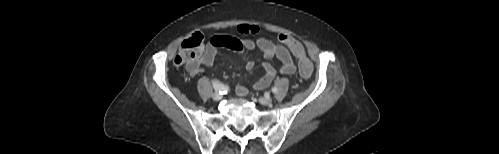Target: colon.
<instances>
[{"instance_id": "obj_1", "label": "colon", "mask_w": 499, "mask_h": 154, "mask_svg": "<svg viewBox=\"0 0 499 154\" xmlns=\"http://www.w3.org/2000/svg\"><path fill=\"white\" fill-rule=\"evenodd\" d=\"M277 40L288 47L292 54L298 59L299 73L302 77L308 78L313 72L312 62L305 54L303 45L295 38L287 34H280ZM204 51V37L201 33H193L183 40L180 50L174 62L177 65H195L201 60Z\"/></svg>"}]
</instances>
